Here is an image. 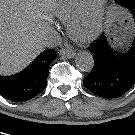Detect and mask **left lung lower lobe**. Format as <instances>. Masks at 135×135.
I'll use <instances>...</instances> for the list:
<instances>
[{
    "label": "left lung lower lobe",
    "instance_id": "0a47b994",
    "mask_svg": "<svg viewBox=\"0 0 135 135\" xmlns=\"http://www.w3.org/2000/svg\"><path fill=\"white\" fill-rule=\"evenodd\" d=\"M128 9L135 21V3ZM89 50L94 57V67L83 83L92 93L103 98H118L135 84V38L123 55L110 47L105 34Z\"/></svg>",
    "mask_w": 135,
    "mask_h": 135
}]
</instances>
